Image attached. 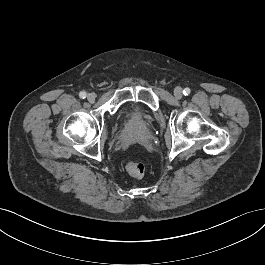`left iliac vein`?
<instances>
[{
  "label": "left iliac vein",
  "instance_id": "4c4485c4",
  "mask_svg": "<svg viewBox=\"0 0 265 265\" xmlns=\"http://www.w3.org/2000/svg\"><path fill=\"white\" fill-rule=\"evenodd\" d=\"M174 96L177 98V99H180L182 97V89L180 87H176L174 89Z\"/></svg>",
  "mask_w": 265,
  "mask_h": 265
}]
</instances>
